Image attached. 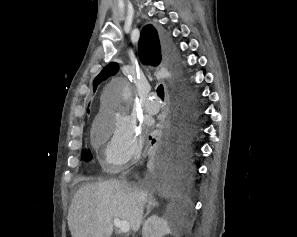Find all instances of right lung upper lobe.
Returning <instances> with one entry per match:
<instances>
[{"label":"right lung upper lobe","instance_id":"1","mask_svg":"<svg viewBox=\"0 0 297 237\" xmlns=\"http://www.w3.org/2000/svg\"><path fill=\"white\" fill-rule=\"evenodd\" d=\"M165 53L164 39L159 38L156 29L152 25H146L142 29L139 40V56L141 61L157 65L161 62ZM117 71L118 64L116 62L108 64L94 79V92L102 81L106 80L109 76L116 74Z\"/></svg>","mask_w":297,"mask_h":237}]
</instances>
